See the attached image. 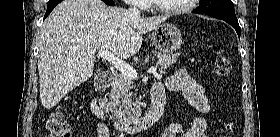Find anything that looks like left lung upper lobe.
Instances as JSON below:
<instances>
[{
	"label": "left lung upper lobe",
	"instance_id": "1",
	"mask_svg": "<svg viewBox=\"0 0 280 137\" xmlns=\"http://www.w3.org/2000/svg\"><path fill=\"white\" fill-rule=\"evenodd\" d=\"M193 12L237 18L234 11V4L231 0H200V6Z\"/></svg>",
	"mask_w": 280,
	"mask_h": 137
}]
</instances>
